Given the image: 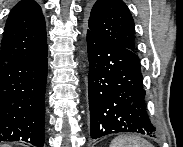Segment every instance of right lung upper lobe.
<instances>
[{"instance_id": "1", "label": "right lung upper lobe", "mask_w": 183, "mask_h": 147, "mask_svg": "<svg viewBox=\"0 0 183 147\" xmlns=\"http://www.w3.org/2000/svg\"><path fill=\"white\" fill-rule=\"evenodd\" d=\"M47 50L46 25L40 6L22 0L11 10L4 28L0 68L25 62Z\"/></svg>"}]
</instances>
